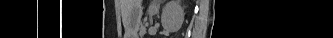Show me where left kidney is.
I'll return each instance as SVG.
<instances>
[{"mask_svg": "<svg viewBox=\"0 0 333 38\" xmlns=\"http://www.w3.org/2000/svg\"><path fill=\"white\" fill-rule=\"evenodd\" d=\"M184 21V10L179 0H170L163 8L161 24L168 32L178 31Z\"/></svg>", "mask_w": 333, "mask_h": 38, "instance_id": "left-kidney-1", "label": "left kidney"}]
</instances>
